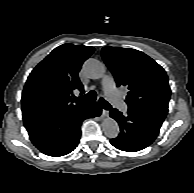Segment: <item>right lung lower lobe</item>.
<instances>
[{"label":"right lung lower lobe","instance_id":"1","mask_svg":"<svg viewBox=\"0 0 194 193\" xmlns=\"http://www.w3.org/2000/svg\"><path fill=\"white\" fill-rule=\"evenodd\" d=\"M102 112L97 102L85 104L53 119L42 120L25 128L32 143L48 156H63L73 151L81 136L80 126L86 118Z\"/></svg>","mask_w":194,"mask_h":193}]
</instances>
